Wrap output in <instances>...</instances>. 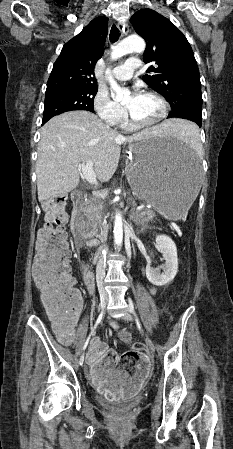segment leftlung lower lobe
Returning a JSON list of instances; mask_svg holds the SVG:
<instances>
[{"label": "left lung lower lobe", "mask_w": 233, "mask_h": 449, "mask_svg": "<svg viewBox=\"0 0 233 449\" xmlns=\"http://www.w3.org/2000/svg\"><path fill=\"white\" fill-rule=\"evenodd\" d=\"M171 117H174V116H172V115H169V116H168V118H171ZM184 119H185V118H184ZM194 122H196V123L198 124V126L201 127L202 119H201V120H198V119L196 118V119H194Z\"/></svg>", "instance_id": "0a47b994"}]
</instances>
